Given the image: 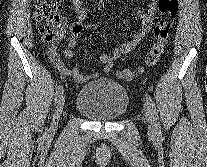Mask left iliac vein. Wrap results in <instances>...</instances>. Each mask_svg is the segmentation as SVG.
Here are the masks:
<instances>
[{
  "label": "left iliac vein",
  "mask_w": 207,
  "mask_h": 167,
  "mask_svg": "<svg viewBox=\"0 0 207 167\" xmlns=\"http://www.w3.org/2000/svg\"><path fill=\"white\" fill-rule=\"evenodd\" d=\"M144 114L148 125L149 133L153 135L155 133L154 118L150 108L146 104L144 105Z\"/></svg>",
  "instance_id": "4c4485c4"
}]
</instances>
